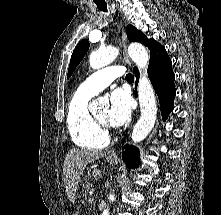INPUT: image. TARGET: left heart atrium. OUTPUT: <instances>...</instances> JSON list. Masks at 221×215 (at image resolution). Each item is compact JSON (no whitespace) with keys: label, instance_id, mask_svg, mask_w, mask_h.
<instances>
[{"label":"left heart atrium","instance_id":"obj_1","mask_svg":"<svg viewBox=\"0 0 221 215\" xmlns=\"http://www.w3.org/2000/svg\"><path fill=\"white\" fill-rule=\"evenodd\" d=\"M131 116V100L129 94L121 89H115L110 95L109 123L114 127L125 124Z\"/></svg>","mask_w":221,"mask_h":215}]
</instances>
